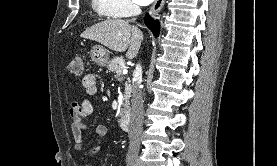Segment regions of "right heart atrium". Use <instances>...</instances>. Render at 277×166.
<instances>
[{
  "label": "right heart atrium",
  "instance_id": "1",
  "mask_svg": "<svg viewBox=\"0 0 277 166\" xmlns=\"http://www.w3.org/2000/svg\"><path fill=\"white\" fill-rule=\"evenodd\" d=\"M107 6L115 16H129L137 12L138 7L134 0H105Z\"/></svg>",
  "mask_w": 277,
  "mask_h": 166
}]
</instances>
